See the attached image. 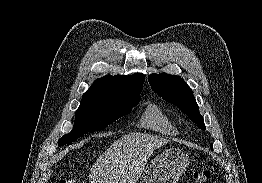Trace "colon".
<instances>
[{
	"mask_svg": "<svg viewBox=\"0 0 262 183\" xmlns=\"http://www.w3.org/2000/svg\"><path fill=\"white\" fill-rule=\"evenodd\" d=\"M211 172L209 170H196L192 174L194 183H207L210 179ZM59 183H76L75 179H65Z\"/></svg>",
	"mask_w": 262,
	"mask_h": 183,
	"instance_id": "colon-1",
	"label": "colon"
}]
</instances>
